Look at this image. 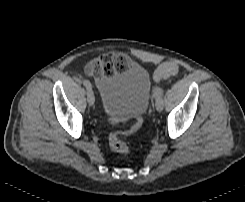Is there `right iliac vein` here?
<instances>
[{"label":"right iliac vein","mask_w":245,"mask_h":202,"mask_svg":"<svg viewBox=\"0 0 245 202\" xmlns=\"http://www.w3.org/2000/svg\"><path fill=\"white\" fill-rule=\"evenodd\" d=\"M87 101L90 106L94 105L95 103V96H94V92L92 91V89L87 90Z\"/></svg>","instance_id":"obj_1"}]
</instances>
